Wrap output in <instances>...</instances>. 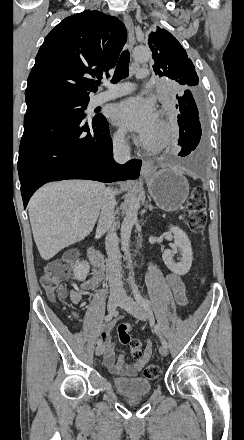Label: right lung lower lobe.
I'll list each match as a JSON object with an SVG mask.
<instances>
[{"mask_svg":"<svg viewBox=\"0 0 244 440\" xmlns=\"http://www.w3.org/2000/svg\"><path fill=\"white\" fill-rule=\"evenodd\" d=\"M141 161L113 160L108 122L102 115L86 120L53 107H28L20 142L18 173L24 208L42 185L65 179L114 182L136 179Z\"/></svg>","mask_w":244,"mask_h":440,"instance_id":"right-lung-lower-lobe-1","label":"right lung lower lobe"}]
</instances>
